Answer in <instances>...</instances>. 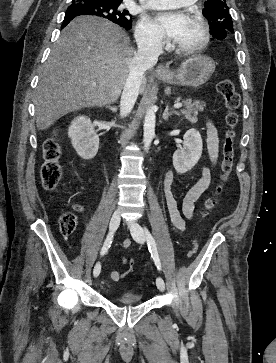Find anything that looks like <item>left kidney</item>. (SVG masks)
Masks as SVG:
<instances>
[{"instance_id":"1","label":"left kidney","mask_w":276,"mask_h":363,"mask_svg":"<svg viewBox=\"0 0 276 363\" xmlns=\"http://www.w3.org/2000/svg\"><path fill=\"white\" fill-rule=\"evenodd\" d=\"M203 143L196 129H189L183 136V147L173 154V166L177 173L184 174L191 170L202 155Z\"/></svg>"}]
</instances>
